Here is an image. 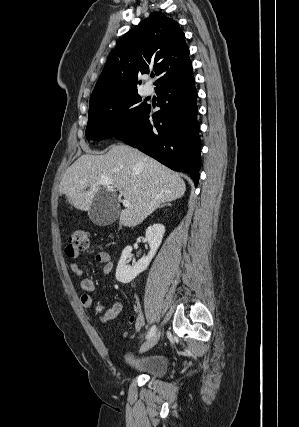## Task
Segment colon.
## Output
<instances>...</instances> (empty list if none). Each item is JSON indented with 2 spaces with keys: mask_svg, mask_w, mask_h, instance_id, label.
<instances>
[{
  "mask_svg": "<svg viewBox=\"0 0 299 427\" xmlns=\"http://www.w3.org/2000/svg\"><path fill=\"white\" fill-rule=\"evenodd\" d=\"M89 247L88 232L85 229H76L69 237L66 253L69 257H76L77 255L86 252Z\"/></svg>",
  "mask_w": 299,
  "mask_h": 427,
  "instance_id": "obj_1",
  "label": "colon"
}]
</instances>
